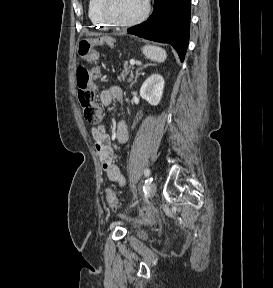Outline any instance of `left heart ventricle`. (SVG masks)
Returning a JSON list of instances; mask_svg holds the SVG:
<instances>
[{
	"mask_svg": "<svg viewBox=\"0 0 273 288\" xmlns=\"http://www.w3.org/2000/svg\"><path fill=\"white\" fill-rule=\"evenodd\" d=\"M144 10V0H110L109 15L118 21H128L138 17Z\"/></svg>",
	"mask_w": 273,
	"mask_h": 288,
	"instance_id": "obj_1",
	"label": "left heart ventricle"
}]
</instances>
